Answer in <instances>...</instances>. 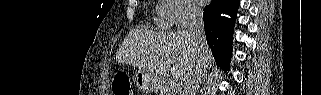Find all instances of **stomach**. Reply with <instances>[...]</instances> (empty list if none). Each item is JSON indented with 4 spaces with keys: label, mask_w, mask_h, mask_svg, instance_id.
Masks as SVG:
<instances>
[{
    "label": "stomach",
    "mask_w": 321,
    "mask_h": 95,
    "mask_svg": "<svg viewBox=\"0 0 321 95\" xmlns=\"http://www.w3.org/2000/svg\"><path fill=\"white\" fill-rule=\"evenodd\" d=\"M137 87L144 92H152L156 85L154 80L143 71H138L135 77Z\"/></svg>",
    "instance_id": "obj_1"
}]
</instances>
